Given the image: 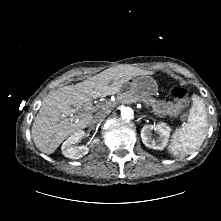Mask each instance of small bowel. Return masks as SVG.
Here are the masks:
<instances>
[{
    "label": "small bowel",
    "instance_id": "obj_1",
    "mask_svg": "<svg viewBox=\"0 0 221 221\" xmlns=\"http://www.w3.org/2000/svg\"><path fill=\"white\" fill-rule=\"evenodd\" d=\"M184 102H164L157 107V112L161 115L176 116L184 107Z\"/></svg>",
    "mask_w": 221,
    "mask_h": 221
}]
</instances>
